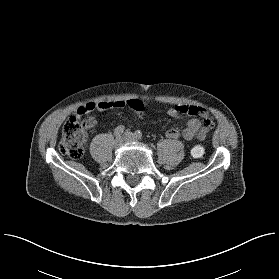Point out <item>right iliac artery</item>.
I'll return each mask as SVG.
<instances>
[{
    "label": "right iliac artery",
    "instance_id": "82829eb1",
    "mask_svg": "<svg viewBox=\"0 0 279 279\" xmlns=\"http://www.w3.org/2000/svg\"><path fill=\"white\" fill-rule=\"evenodd\" d=\"M124 126L123 125H119L118 127L115 128L114 130V136L116 138L120 137L122 135V133L124 132Z\"/></svg>",
    "mask_w": 279,
    "mask_h": 279
}]
</instances>
